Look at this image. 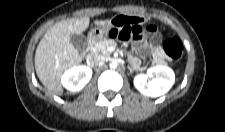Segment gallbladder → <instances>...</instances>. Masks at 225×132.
I'll return each mask as SVG.
<instances>
[{"label": "gallbladder", "mask_w": 225, "mask_h": 132, "mask_svg": "<svg viewBox=\"0 0 225 132\" xmlns=\"http://www.w3.org/2000/svg\"><path fill=\"white\" fill-rule=\"evenodd\" d=\"M70 41L79 52H84L88 46L87 38L83 34H72Z\"/></svg>", "instance_id": "gallbladder-1"}]
</instances>
